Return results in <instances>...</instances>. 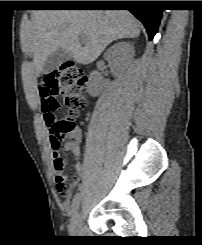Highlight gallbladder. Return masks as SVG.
<instances>
[{
    "label": "gallbladder",
    "mask_w": 202,
    "mask_h": 245,
    "mask_svg": "<svg viewBox=\"0 0 202 245\" xmlns=\"http://www.w3.org/2000/svg\"><path fill=\"white\" fill-rule=\"evenodd\" d=\"M70 59H72V53L66 49L59 48L48 56L43 66V72H52Z\"/></svg>",
    "instance_id": "bac80fb5"
}]
</instances>
